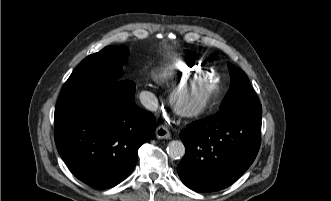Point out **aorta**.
Returning a JSON list of instances; mask_svg holds the SVG:
<instances>
[{"label": "aorta", "instance_id": "1", "mask_svg": "<svg viewBox=\"0 0 331 201\" xmlns=\"http://www.w3.org/2000/svg\"><path fill=\"white\" fill-rule=\"evenodd\" d=\"M167 153L173 159H180L185 154V147L181 141L173 140L167 146Z\"/></svg>", "mask_w": 331, "mask_h": 201}]
</instances>
